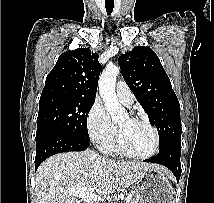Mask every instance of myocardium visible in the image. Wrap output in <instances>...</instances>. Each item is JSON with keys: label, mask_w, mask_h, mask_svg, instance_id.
<instances>
[{"label": "myocardium", "mask_w": 214, "mask_h": 203, "mask_svg": "<svg viewBox=\"0 0 214 203\" xmlns=\"http://www.w3.org/2000/svg\"><path fill=\"white\" fill-rule=\"evenodd\" d=\"M133 121L142 123L144 125H146L148 128H150V130L153 132V136H154V146L153 149L147 153V154H143V155H137V154H133L131 152H129L124 144H123V139H122V133H121V129L118 127L117 129V137H116V147L117 150L123 154L124 156L131 158V159H135V160H147L152 158L153 156H155L160 148V135L159 132L157 130V128L155 126H153L148 120L140 118V117H130Z\"/></svg>", "instance_id": "1"}]
</instances>
